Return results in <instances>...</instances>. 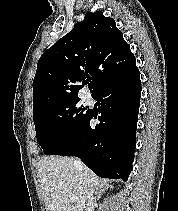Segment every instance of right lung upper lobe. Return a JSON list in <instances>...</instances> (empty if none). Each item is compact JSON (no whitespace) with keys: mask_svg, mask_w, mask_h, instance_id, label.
Returning a JSON list of instances; mask_svg holds the SVG:
<instances>
[{"mask_svg":"<svg viewBox=\"0 0 178 211\" xmlns=\"http://www.w3.org/2000/svg\"><path fill=\"white\" fill-rule=\"evenodd\" d=\"M135 68L136 59L114 19L100 11L88 12L39 59L33 114L54 103L79 99V90L90 80L93 96Z\"/></svg>","mask_w":178,"mask_h":211,"instance_id":"right-lung-upper-lobe-1","label":"right lung upper lobe"}]
</instances>
